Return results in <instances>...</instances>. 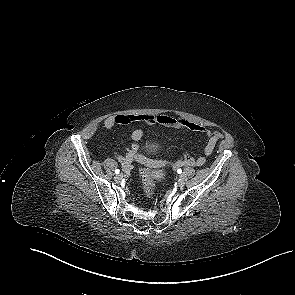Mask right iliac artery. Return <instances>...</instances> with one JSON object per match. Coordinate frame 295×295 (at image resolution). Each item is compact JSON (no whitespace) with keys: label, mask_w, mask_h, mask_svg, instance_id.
Masks as SVG:
<instances>
[{"label":"right iliac artery","mask_w":295,"mask_h":295,"mask_svg":"<svg viewBox=\"0 0 295 295\" xmlns=\"http://www.w3.org/2000/svg\"><path fill=\"white\" fill-rule=\"evenodd\" d=\"M115 173H116V174H119V173H120V170H119V169H116V170H115Z\"/></svg>","instance_id":"82829eb1"}]
</instances>
